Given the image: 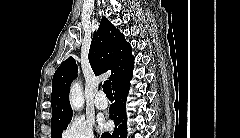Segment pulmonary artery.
<instances>
[{
    "label": "pulmonary artery",
    "instance_id": "e3ab8cb5",
    "mask_svg": "<svg viewBox=\"0 0 240 138\" xmlns=\"http://www.w3.org/2000/svg\"><path fill=\"white\" fill-rule=\"evenodd\" d=\"M94 102L96 107L100 110H104L108 107V101L105 97L104 92L101 90L97 92Z\"/></svg>",
    "mask_w": 240,
    "mask_h": 138
}]
</instances>
